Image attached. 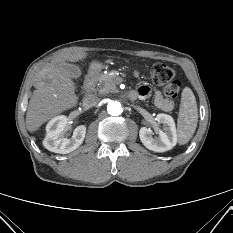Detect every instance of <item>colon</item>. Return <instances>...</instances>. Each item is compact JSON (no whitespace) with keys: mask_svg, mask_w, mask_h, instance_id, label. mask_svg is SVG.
I'll list each match as a JSON object with an SVG mask.
<instances>
[{"mask_svg":"<svg viewBox=\"0 0 233 233\" xmlns=\"http://www.w3.org/2000/svg\"><path fill=\"white\" fill-rule=\"evenodd\" d=\"M153 82L162 86L163 93L168 98L178 97L181 89L180 82L175 79V71L164 63H155L151 67Z\"/></svg>","mask_w":233,"mask_h":233,"instance_id":"5ec220e1","label":"colon"}]
</instances>
